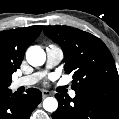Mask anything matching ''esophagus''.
Masks as SVG:
<instances>
[{
	"mask_svg": "<svg viewBox=\"0 0 119 119\" xmlns=\"http://www.w3.org/2000/svg\"><path fill=\"white\" fill-rule=\"evenodd\" d=\"M51 95V92L48 91V90H42V96L43 98L47 97V96H50Z\"/></svg>",
	"mask_w": 119,
	"mask_h": 119,
	"instance_id": "esophagus-1",
	"label": "esophagus"
}]
</instances>
